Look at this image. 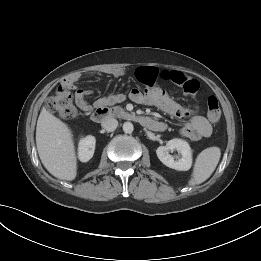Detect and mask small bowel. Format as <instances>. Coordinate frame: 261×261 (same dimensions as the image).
<instances>
[{"label": "small bowel", "instance_id": "c3829d8e", "mask_svg": "<svg viewBox=\"0 0 261 261\" xmlns=\"http://www.w3.org/2000/svg\"><path fill=\"white\" fill-rule=\"evenodd\" d=\"M106 74L119 77L122 76L125 71L122 68H113L105 71ZM136 75L140 81L145 84H151L159 76V72L153 67H142L136 72ZM162 77L166 80L176 83L181 86L185 94L195 99L199 89V82L180 71H168L162 74ZM69 83L75 88L74 81ZM89 91L80 88L76 89L75 98L77 106L84 112L91 110L90 104L86 100V96L89 95ZM129 97L137 103H147L156 105L161 110L169 113L177 118H189V120L181 128V135L187 139L198 141L208 138L212 133V126L208 119L202 115L197 114V107L185 108L172 100L161 88H154L142 92L139 89H132ZM125 99V95L122 93H113L98 100V104L106 103H118Z\"/></svg>", "mask_w": 261, "mask_h": 261}]
</instances>
